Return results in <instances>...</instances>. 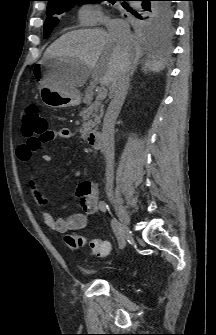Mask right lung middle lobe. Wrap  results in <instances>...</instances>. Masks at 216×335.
<instances>
[{"label":"right lung middle lobe","mask_w":216,"mask_h":335,"mask_svg":"<svg viewBox=\"0 0 216 335\" xmlns=\"http://www.w3.org/2000/svg\"><path fill=\"white\" fill-rule=\"evenodd\" d=\"M97 1H108L111 4H114L116 0H67L49 4L47 7L48 17L44 23V38H47L53 28L59 23L57 15L62 14L76 4L96 3ZM125 8L132 13V18L137 22L142 30L154 34L170 35L172 33L171 22L162 21L159 15V12L161 11H166L164 16L168 15V11L172 10L170 2L158 3L156 15L147 20L142 19L138 11H134L128 6Z\"/></svg>","instance_id":"right-lung-middle-lobe-1"}]
</instances>
